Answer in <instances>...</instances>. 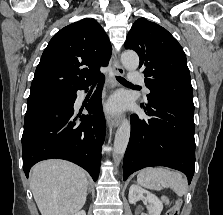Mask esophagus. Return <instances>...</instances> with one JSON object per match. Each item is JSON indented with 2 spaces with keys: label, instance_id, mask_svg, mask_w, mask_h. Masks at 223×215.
I'll use <instances>...</instances> for the list:
<instances>
[{
  "label": "esophagus",
  "instance_id": "1",
  "mask_svg": "<svg viewBox=\"0 0 223 215\" xmlns=\"http://www.w3.org/2000/svg\"><path fill=\"white\" fill-rule=\"evenodd\" d=\"M112 69H113L114 75H124V69L119 64L116 55H114L113 57ZM106 120L110 127H118L121 121V117H119L118 115H114L113 113L108 111L106 113Z\"/></svg>",
  "mask_w": 223,
  "mask_h": 215
}]
</instances>
